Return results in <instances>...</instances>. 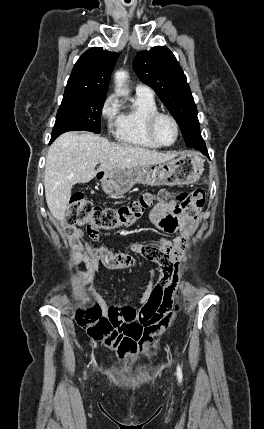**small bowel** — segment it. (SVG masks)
Masks as SVG:
<instances>
[{
  "mask_svg": "<svg viewBox=\"0 0 264 429\" xmlns=\"http://www.w3.org/2000/svg\"><path fill=\"white\" fill-rule=\"evenodd\" d=\"M149 220L159 229L179 235L173 240L161 238L152 244L134 243L131 251L145 256L159 264L160 278L153 282L154 271L149 273L144 291L142 292L138 309L131 307L134 320L130 328L123 332V339L127 344L135 346L144 353L155 335L167 330L174 322L176 313L171 310L175 287L180 278V261L183 258L192 220L180 210L174 201L156 205L150 212ZM88 235L93 240L98 234ZM66 244L73 250L71 258L83 262L86 266L85 278L90 281L89 293L95 299L99 297L95 290V279L101 265L111 269H125L134 267L136 260L127 253H116L106 246H93L78 229L65 227L63 233ZM100 307L105 314L109 308L99 300ZM128 306V305H115Z\"/></svg>",
  "mask_w": 264,
  "mask_h": 429,
  "instance_id": "small-bowel-1",
  "label": "small bowel"
}]
</instances>
